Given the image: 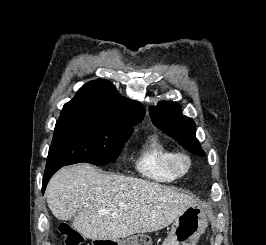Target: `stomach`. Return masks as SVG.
Instances as JSON below:
<instances>
[{"label":"stomach","instance_id":"1","mask_svg":"<svg viewBox=\"0 0 266 245\" xmlns=\"http://www.w3.org/2000/svg\"><path fill=\"white\" fill-rule=\"evenodd\" d=\"M208 221L200 207H188L180 217L175 219L169 235L164 239L162 245H195L200 235L205 231ZM115 245H152L153 241L149 235H132L124 241H111Z\"/></svg>","mask_w":266,"mask_h":245}]
</instances>
